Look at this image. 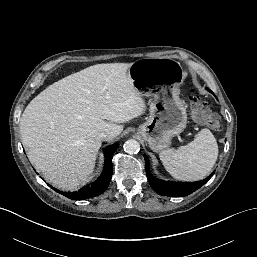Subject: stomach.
Segmentation results:
<instances>
[{"instance_id":"1","label":"stomach","mask_w":257,"mask_h":257,"mask_svg":"<svg viewBox=\"0 0 257 257\" xmlns=\"http://www.w3.org/2000/svg\"><path fill=\"white\" fill-rule=\"evenodd\" d=\"M128 76L137 90L147 89L152 98L148 120L139 127V134L153 151L168 149L187 124L186 108L179 97L185 77L182 65L170 58L139 59L131 63Z\"/></svg>"}]
</instances>
